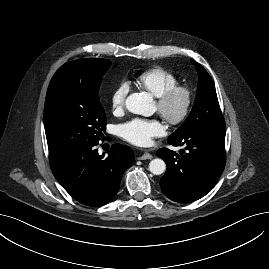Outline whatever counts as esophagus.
<instances>
[{"instance_id":"1","label":"esophagus","mask_w":269,"mask_h":269,"mask_svg":"<svg viewBox=\"0 0 269 269\" xmlns=\"http://www.w3.org/2000/svg\"><path fill=\"white\" fill-rule=\"evenodd\" d=\"M152 158H153V156L150 153H148V152L143 153L139 157L140 160H148V159H152Z\"/></svg>"}]
</instances>
